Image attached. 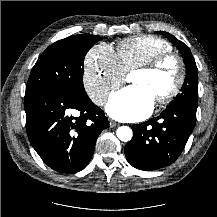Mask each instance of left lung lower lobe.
Masks as SVG:
<instances>
[{
	"label": "left lung lower lobe",
	"mask_w": 217,
	"mask_h": 217,
	"mask_svg": "<svg viewBox=\"0 0 217 217\" xmlns=\"http://www.w3.org/2000/svg\"><path fill=\"white\" fill-rule=\"evenodd\" d=\"M196 109L189 104L170 106L158 117L133 125V138L125 146L127 161L143 171L174 163L194 129Z\"/></svg>",
	"instance_id": "obj_1"
}]
</instances>
